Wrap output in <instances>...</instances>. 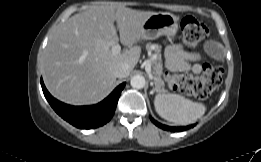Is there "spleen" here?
<instances>
[{
	"instance_id": "spleen-1",
	"label": "spleen",
	"mask_w": 261,
	"mask_h": 162,
	"mask_svg": "<svg viewBox=\"0 0 261 162\" xmlns=\"http://www.w3.org/2000/svg\"><path fill=\"white\" fill-rule=\"evenodd\" d=\"M156 112L169 122L178 125L200 119L206 111L202 103L193 102L178 94H157L154 98Z\"/></svg>"
}]
</instances>
